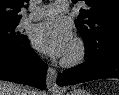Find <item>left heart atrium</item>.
Returning <instances> with one entry per match:
<instances>
[{
  "mask_svg": "<svg viewBox=\"0 0 119 95\" xmlns=\"http://www.w3.org/2000/svg\"><path fill=\"white\" fill-rule=\"evenodd\" d=\"M31 40L38 50L54 58L66 56L74 41L70 26L60 20H49L37 25Z\"/></svg>",
  "mask_w": 119,
  "mask_h": 95,
  "instance_id": "39dd6f15",
  "label": "left heart atrium"
}]
</instances>
